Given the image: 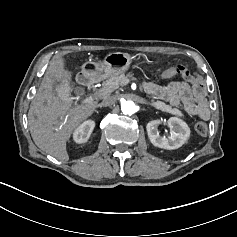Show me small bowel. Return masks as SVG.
Returning <instances> with one entry per match:
<instances>
[{
	"instance_id": "obj_1",
	"label": "small bowel",
	"mask_w": 237,
	"mask_h": 237,
	"mask_svg": "<svg viewBox=\"0 0 237 237\" xmlns=\"http://www.w3.org/2000/svg\"><path fill=\"white\" fill-rule=\"evenodd\" d=\"M175 74L174 69H168L163 73V77L170 78ZM190 83L191 86L182 82H174L167 86L146 83L144 88L156 98L168 101L173 107L182 106L190 116L207 120L211 111L206 97V85L198 76H194Z\"/></svg>"
}]
</instances>
